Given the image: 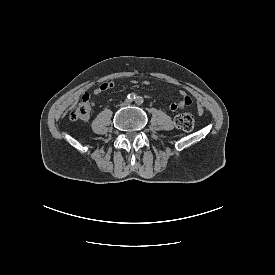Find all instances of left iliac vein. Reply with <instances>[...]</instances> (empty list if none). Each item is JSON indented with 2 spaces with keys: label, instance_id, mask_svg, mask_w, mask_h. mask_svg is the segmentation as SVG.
I'll use <instances>...</instances> for the list:
<instances>
[{
  "label": "left iliac vein",
  "instance_id": "obj_1",
  "mask_svg": "<svg viewBox=\"0 0 275 275\" xmlns=\"http://www.w3.org/2000/svg\"><path fill=\"white\" fill-rule=\"evenodd\" d=\"M126 104L128 105V104H129V101H126Z\"/></svg>",
  "mask_w": 275,
  "mask_h": 275
}]
</instances>
